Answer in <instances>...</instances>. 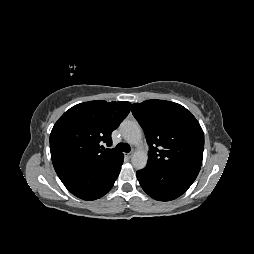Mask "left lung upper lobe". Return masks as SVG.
<instances>
[{"instance_id":"obj_1","label":"left lung upper lobe","mask_w":254,"mask_h":254,"mask_svg":"<svg viewBox=\"0 0 254 254\" xmlns=\"http://www.w3.org/2000/svg\"><path fill=\"white\" fill-rule=\"evenodd\" d=\"M132 113L146 135L148 163L166 170L198 175L204 133L185 107L170 101L147 100L133 104Z\"/></svg>"}]
</instances>
